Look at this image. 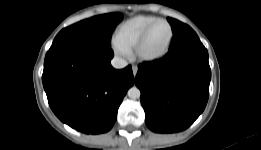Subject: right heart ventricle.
Returning a JSON list of instances; mask_svg holds the SVG:
<instances>
[{"mask_svg": "<svg viewBox=\"0 0 261 150\" xmlns=\"http://www.w3.org/2000/svg\"><path fill=\"white\" fill-rule=\"evenodd\" d=\"M158 17L151 15H137L122 22L116 29L115 42L128 52L134 49L145 28Z\"/></svg>", "mask_w": 261, "mask_h": 150, "instance_id": "e07e8e85", "label": "right heart ventricle"}]
</instances>
